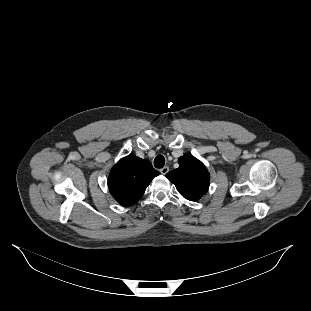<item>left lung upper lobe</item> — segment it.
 Segmentation results:
<instances>
[{"label": "left lung upper lobe", "instance_id": "left-lung-upper-lobe-1", "mask_svg": "<svg viewBox=\"0 0 311 311\" xmlns=\"http://www.w3.org/2000/svg\"><path fill=\"white\" fill-rule=\"evenodd\" d=\"M179 167L166 174L178 192L191 201L199 200L209 188L210 176L205 166L194 156L179 158Z\"/></svg>", "mask_w": 311, "mask_h": 311}]
</instances>
